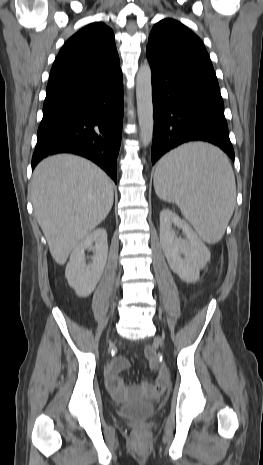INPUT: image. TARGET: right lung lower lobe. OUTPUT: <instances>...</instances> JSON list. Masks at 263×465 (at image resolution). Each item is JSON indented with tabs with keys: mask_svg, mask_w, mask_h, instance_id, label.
<instances>
[{
	"mask_svg": "<svg viewBox=\"0 0 263 465\" xmlns=\"http://www.w3.org/2000/svg\"><path fill=\"white\" fill-rule=\"evenodd\" d=\"M123 121L122 72L46 91L32 169L56 153L86 157L117 182Z\"/></svg>",
	"mask_w": 263,
	"mask_h": 465,
	"instance_id": "98d812e1",
	"label": "right lung lower lobe"
}]
</instances>
